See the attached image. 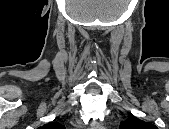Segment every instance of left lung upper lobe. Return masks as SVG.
I'll return each instance as SVG.
<instances>
[{"instance_id": "1", "label": "left lung upper lobe", "mask_w": 169, "mask_h": 129, "mask_svg": "<svg viewBox=\"0 0 169 129\" xmlns=\"http://www.w3.org/2000/svg\"><path fill=\"white\" fill-rule=\"evenodd\" d=\"M120 129H157L151 123L144 122L134 116L128 117L125 121L120 123Z\"/></svg>"}]
</instances>
